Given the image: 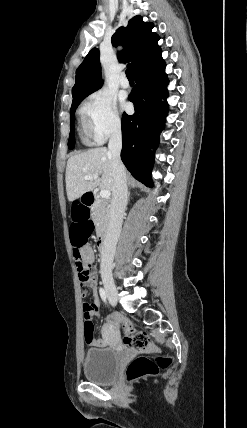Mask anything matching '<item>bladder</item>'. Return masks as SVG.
Here are the masks:
<instances>
[{"label": "bladder", "instance_id": "bladder-1", "mask_svg": "<svg viewBox=\"0 0 247 428\" xmlns=\"http://www.w3.org/2000/svg\"><path fill=\"white\" fill-rule=\"evenodd\" d=\"M120 356L113 348H91L85 353L83 373L87 380L97 384L113 382L119 373Z\"/></svg>", "mask_w": 247, "mask_h": 428}]
</instances>
